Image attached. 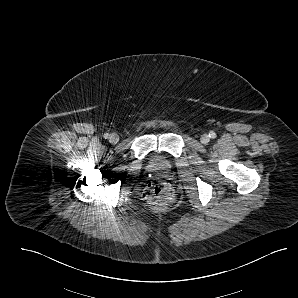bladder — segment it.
Listing matches in <instances>:
<instances>
[{
	"label": "bladder",
	"mask_w": 298,
	"mask_h": 298,
	"mask_svg": "<svg viewBox=\"0 0 298 298\" xmlns=\"http://www.w3.org/2000/svg\"><path fill=\"white\" fill-rule=\"evenodd\" d=\"M146 168L151 173L168 174L173 168V163L161 153H152L147 159Z\"/></svg>",
	"instance_id": "obj_1"
}]
</instances>
